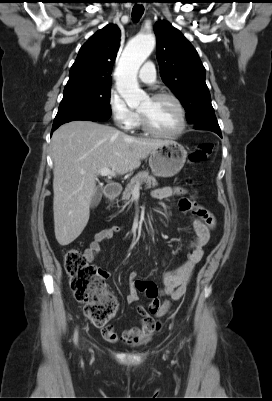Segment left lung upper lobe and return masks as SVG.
Masks as SVG:
<instances>
[{
    "label": "left lung upper lobe",
    "mask_w": 272,
    "mask_h": 401,
    "mask_svg": "<svg viewBox=\"0 0 272 401\" xmlns=\"http://www.w3.org/2000/svg\"><path fill=\"white\" fill-rule=\"evenodd\" d=\"M157 37V59L163 82L180 100L187 121L216 119L205 83V68L192 44L167 21L154 26Z\"/></svg>",
    "instance_id": "obj_1"
}]
</instances>
